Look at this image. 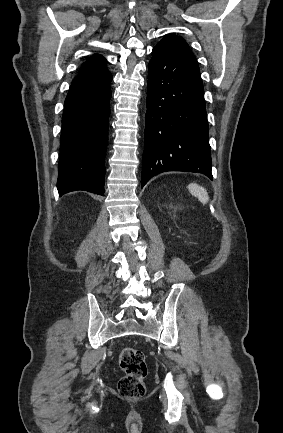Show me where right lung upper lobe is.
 <instances>
[{
    "label": "right lung upper lobe",
    "instance_id": "cb5924a9",
    "mask_svg": "<svg viewBox=\"0 0 283 433\" xmlns=\"http://www.w3.org/2000/svg\"><path fill=\"white\" fill-rule=\"evenodd\" d=\"M106 69V60L101 55L91 56L82 66L78 76L73 80L74 83H83L93 81L109 75Z\"/></svg>",
    "mask_w": 283,
    "mask_h": 433
}]
</instances>
